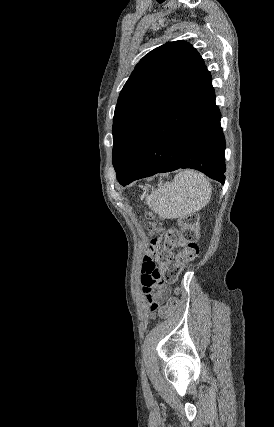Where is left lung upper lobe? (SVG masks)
Returning a JSON list of instances; mask_svg holds the SVG:
<instances>
[{"mask_svg":"<svg viewBox=\"0 0 274 427\" xmlns=\"http://www.w3.org/2000/svg\"><path fill=\"white\" fill-rule=\"evenodd\" d=\"M204 66L196 49L182 40L152 50L136 65L114 113L117 176L129 172L152 125Z\"/></svg>","mask_w":274,"mask_h":427,"instance_id":"5c2ea615","label":"left lung upper lobe"}]
</instances>
